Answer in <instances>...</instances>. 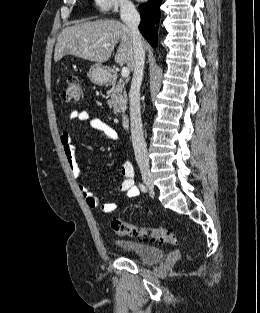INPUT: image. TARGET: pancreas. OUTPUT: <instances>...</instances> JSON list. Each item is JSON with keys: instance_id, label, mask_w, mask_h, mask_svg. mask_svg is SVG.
Instances as JSON below:
<instances>
[{"instance_id": "pancreas-1", "label": "pancreas", "mask_w": 260, "mask_h": 313, "mask_svg": "<svg viewBox=\"0 0 260 313\" xmlns=\"http://www.w3.org/2000/svg\"><path fill=\"white\" fill-rule=\"evenodd\" d=\"M124 85L125 83L119 80L109 91L110 100H108V105L110 108H113L115 114L126 110L127 94Z\"/></svg>"}]
</instances>
